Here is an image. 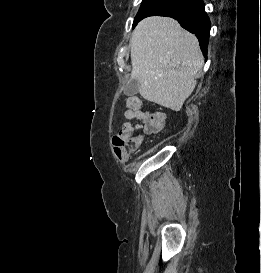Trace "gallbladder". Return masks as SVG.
<instances>
[{
    "mask_svg": "<svg viewBox=\"0 0 261 273\" xmlns=\"http://www.w3.org/2000/svg\"><path fill=\"white\" fill-rule=\"evenodd\" d=\"M124 93L127 96L136 95L138 93V81L136 79L131 78L124 89Z\"/></svg>",
    "mask_w": 261,
    "mask_h": 273,
    "instance_id": "obj_1",
    "label": "gallbladder"
}]
</instances>
